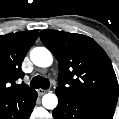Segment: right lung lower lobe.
<instances>
[{
  "mask_svg": "<svg viewBox=\"0 0 119 119\" xmlns=\"http://www.w3.org/2000/svg\"><path fill=\"white\" fill-rule=\"evenodd\" d=\"M37 92L0 104V119H29L36 104Z\"/></svg>",
  "mask_w": 119,
  "mask_h": 119,
  "instance_id": "obj_1",
  "label": "right lung lower lobe"
}]
</instances>
